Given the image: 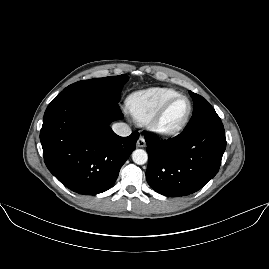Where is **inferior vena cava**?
I'll return each mask as SVG.
<instances>
[{
	"mask_svg": "<svg viewBox=\"0 0 269 269\" xmlns=\"http://www.w3.org/2000/svg\"><path fill=\"white\" fill-rule=\"evenodd\" d=\"M113 131L119 136H129L131 134V129L126 123H115L112 125Z\"/></svg>",
	"mask_w": 269,
	"mask_h": 269,
	"instance_id": "602c4592",
	"label": "inferior vena cava"
}]
</instances>
